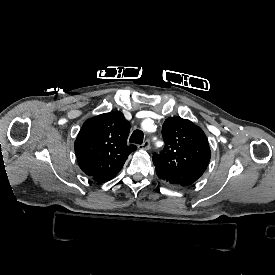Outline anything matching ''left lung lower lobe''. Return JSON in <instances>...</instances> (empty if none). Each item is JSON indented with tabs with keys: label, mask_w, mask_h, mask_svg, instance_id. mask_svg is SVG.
Here are the masks:
<instances>
[{
	"label": "left lung lower lobe",
	"mask_w": 275,
	"mask_h": 275,
	"mask_svg": "<svg viewBox=\"0 0 275 275\" xmlns=\"http://www.w3.org/2000/svg\"><path fill=\"white\" fill-rule=\"evenodd\" d=\"M155 169H156L157 176H158L160 179H162V180L166 181L167 183L172 184V185H174V186H178V185L174 182V180H173L170 176H168L166 173H164L160 168H158V167L155 166Z\"/></svg>",
	"instance_id": "left-lung-lower-lobe-1"
}]
</instances>
